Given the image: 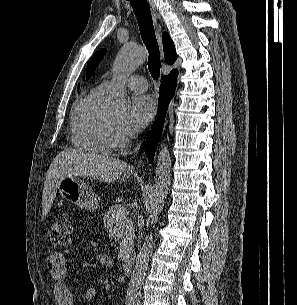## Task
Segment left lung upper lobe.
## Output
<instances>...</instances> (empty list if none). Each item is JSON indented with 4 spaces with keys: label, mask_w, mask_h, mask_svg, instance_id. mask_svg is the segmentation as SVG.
<instances>
[{
    "label": "left lung upper lobe",
    "mask_w": 297,
    "mask_h": 305,
    "mask_svg": "<svg viewBox=\"0 0 297 305\" xmlns=\"http://www.w3.org/2000/svg\"><path fill=\"white\" fill-rule=\"evenodd\" d=\"M106 50L105 49H101L100 51H98L92 58L91 60L88 62L87 67H86V72H87V78L89 79L90 76L93 74V72L95 71L97 65L99 64V62L101 61V59L103 58L104 54H105Z\"/></svg>",
    "instance_id": "1"
}]
</instances>
